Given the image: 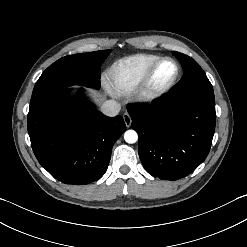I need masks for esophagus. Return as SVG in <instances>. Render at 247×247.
<instances>
[{
  "mask_svg": "<svg viewBox=\"0 0 247 247\" xmlns=\"http://www.w3.org/2000/svg\"><path fill=\"white\" fill-rule=\"evenodd\" d=\"M123 119H124L126 127H130L131 123H132V119H131L130 115L128 113H125L123 115Z\"/></svg>",
  "mask_w": 247,
  "mask_h": 247,
  "instance_id": "34e87169",
  "label": "esophagus"
}]
</instances>
